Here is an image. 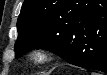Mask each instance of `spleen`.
Masks as SVG:
<instances>
[{
  "label": "spleen",
  "mask_w": 107,
  "mask_h": 75,
  "mask_svg": "<svg viewBox=\"0 0 107 75\" xmlns=\"http://www.w3.org/2000/svg\"><path fill=\"white\" fill-rule=\"evenodd\" d=\"M92 75H99L98 73H92Z\"/></svg>",
  "instance_id": "spleen-1"
}]
</instances>
